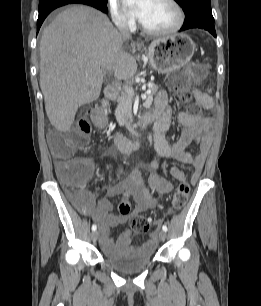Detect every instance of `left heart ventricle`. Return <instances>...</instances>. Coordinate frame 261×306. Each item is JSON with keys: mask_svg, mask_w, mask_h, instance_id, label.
<instances>
[{"mask_svg": "<svg viewBox=\"0 0 261 306\" xmlns=\"http://www.w3.org/2000/svg\"><path fill=\"white\" fill-rule=\"evenodd\" d=\"M139 20L154 29H165L176 20L174 8L165 0H148Z\"/></svg>", "mask_w": 261, "mask_h": 306, "instance_id": "left-heart-ventricle-1", "label": "left heart ventricle"}]
</instances>
